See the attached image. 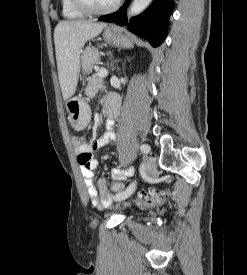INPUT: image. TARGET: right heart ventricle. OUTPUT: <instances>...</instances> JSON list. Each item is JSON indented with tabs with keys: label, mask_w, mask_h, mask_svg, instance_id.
Wrapping results in <instances>:
<instances>
[{
	"label": "right heart ventricle",
	"mask_w": 247,
	"mask_h": 275,
	"mask_svg": "<svg viewBox=\"0 0 247 275\" xmlns=\"http://www.w3.org/2000/svg\"><path fill=\"white\" fill-rule=\"evenodd\" d=\"M61 9L64 17L68 19H79L84 17V14L75 9L71 0H61Z\"/></svg>",
	"instance_id": "right-heart-ventricle-1"
}]
</instances>
